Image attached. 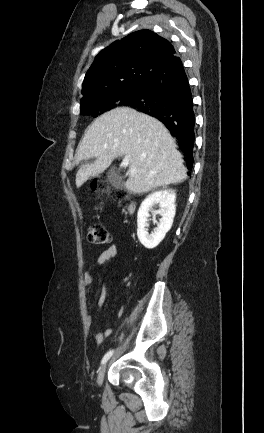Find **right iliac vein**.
Returning <instances> with one entry per match:
<instances>
[{"instance_id": "obj_1", "label": "right iliac vein", "mask_w": 264, "mask_h": 433, "mask_svg": "<svg viewBox=\"0 0 264 433\" xmlns=\"http://www.w3.org/2000/svg\"><path fill=\"white\" fill-rule=\"evenodd\" d=\"M107 364H104L97 376V384L100 386L104 380L105 372H106Z\"/></svg>"}]
</instances>
